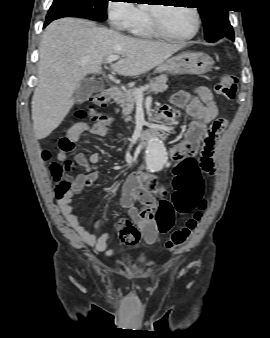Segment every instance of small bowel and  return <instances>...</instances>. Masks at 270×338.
<instances>
[{
    "instance_id": "small-bowel-1",
    "label": "small bowel",
    "mask_w": 270,
    "mask_h": 338,
    "mask_svg": "<svg viewBox=\"0 0 270 338\" xmlns=\"http://www.w3.org/2000/svg\"><path fill=\"white\" fill-rule=\"evenodd\" d=\"M171 104L177 108H186L187 113L193 118L189 129L186 133L185 140L171 148V156L175 159L176 166L173 171L174 180L179 183H185L188 178L201 168V163L197 156L193 153L200 145L208 146L211 149V156L217 140L223 130L220 127H213L208 133L205 128L212 123L217 117V106L214 101L212 91L205 86L195 87L192 93L184 90L175 92L171 96ZM160 114L167 119L178 117V113L171 106H163L160 108ZM109 122L101 119L92 125L85 122H78L71 126L67 131L66 137L73 143H77L83 133L103 137L107 133ZM171 129L168 127V131ZM71 151H60L58 158L64 160L68 156L73 155L72 159L75 165L86 172L77 175L71 186L67 190L61 188L56 192L59 207L68 221L70 226L78 233L81 239L90 247L94 248L97 253H104L110 257L113 250L107 249L108 241L111 237L106 230V226L102 225L103 232L96 235L87 230L84 222L80 221L73 208V198L80 194L87 186L94 184L99 178L98 170L93 167L100 160V153L93 152L87 158L83 153ZM214 167V164H213ZM159 187V182L152 178H146L141 169H137L128 175L122 189L120 198L121 205L128 210L129 217L134 227H129L126 221H120L117 230L120 239L125 244L135 245L139 242L140 237L137 230L140 231L142 237L149 244L156 242L159 233H167L172 228L175 218L173 217L168 226H163L159 221H153L149 218V214L155 210V205L147 195L148 191H155ZM134 201H138L146 206V213H140L134 207ZM165 201V200H164ZM162 201V202H164ZM133 228L134 231H130Z\"/></svg>"
}]
</instances>
